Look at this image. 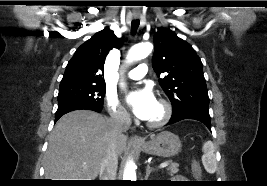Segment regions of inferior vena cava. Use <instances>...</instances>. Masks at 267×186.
<instances>
[{
    "instance_id": "obj_1",
    "label": "inferior vena cava",
    "mask_w": 267,
    "mask_h": 186,
    "mask_svg": "<svg viewBox=\"0 0 267 186\" xmlns=\"http://www.w3.org/2000/svg\"><path fill=\"white\" fill-rule=\"evenodd\" d=\"M131 121L126 112L115 113L109 120V141L105 156L102 160L99 178L100 180H116L118 168V155L116 152V140L124 135L130 128Z\"/></svg>"
}]
</instances>
